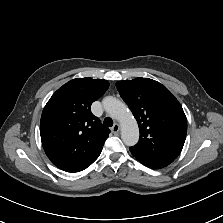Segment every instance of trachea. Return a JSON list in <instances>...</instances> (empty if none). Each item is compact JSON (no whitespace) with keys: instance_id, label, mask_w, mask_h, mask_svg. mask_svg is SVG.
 <instances>
[{"instance_id":"3493384b","label":"trachea","mask_w":223,"mask_h":223,"mask_svg":"<svg viewBox=\"0 0 223 223\" xmlns=\"http://www.w3.org/2000/svg\"><path fill=\"white\" fill-rule=\"evenodd\" d=\"M103 124L105 127H111V126H113V120L111 118L107 117L104 119Z\"/></svg>"}]
</instances>
